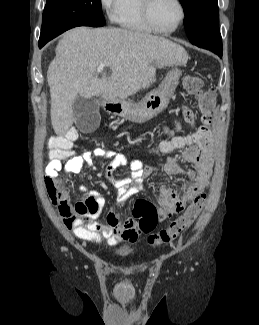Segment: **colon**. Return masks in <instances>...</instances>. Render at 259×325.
<instances>
[{"mask_svg": "<svg viewBox=\"0 0 259 325\" xmlns=\"http://www.w3.org/2000/svg\"><path fill=\"white\" fill-rule=\"evenodd\" d=\"M182 86L186 94L194 97L198 102L202 114L203 126L205 131L209 130V123L212 113L215 109V95L213 91L207 88L204 82L196 76H186L183 79ZM77 139V132L70 130L64 135L54 136L50 139L49 147L50 153L57 160L66 157L71 153L74 141ZM187 136L182 138H164L161 143L162 150L180 149L181 145H185ZM50 198H60L59 191L55 181H51L47 185ZM206 201L205 194L197 195L193 202L189 205L186 211L172 221L168 227L162 229L158 233L152 234L148 237V243L152 246H159L174 241L178 235L188 228L197 216L200 214ZM133 217L137 220L138 229L142 233L151 232L158 220V210L156 207L145 199H138L133 208Z\"/></svg>", "mask_w": 259, "mask_h": 325, "instance_id": "1", "label": "colon"}]
</instances>
